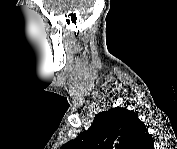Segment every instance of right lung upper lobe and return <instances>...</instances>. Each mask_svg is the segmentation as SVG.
Returning a JSON list of instances; mask_svg holds the SVG:
<instances>
[{"mask_svg":"<svg viewBox=\"0 0 177 149\" xmlns=\"http://www.w3.org/2000/svg\"><path fill=\"white\" fill-rule=\"evenodd\" d=\"M153 142L135 112L116 107L96 115L92 126L63 149H151Z\"/></svg>","mask_w":177,"mask_h":149,"instance_id":"right-lung-upper-lobe-1","label":"right lung upper lobe"}]
</instances>
